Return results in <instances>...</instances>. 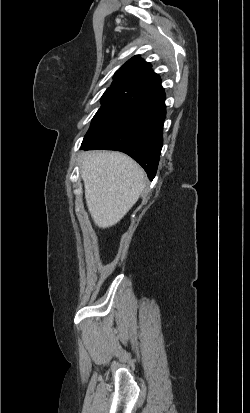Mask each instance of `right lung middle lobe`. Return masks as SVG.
I'll use <instances>...</instances> for the list:
<instances>
[{"label": "right lung middle lobe", "instance_id": "1", "mask_svg": "<svg viewBox=\"0 0 250 413\" xmlns=\"http://www.w3.org/2000/svg\"><path fill=\"white\" fill-rule=\"evenodd\" d=\"M136 94L106 90L101 99V107L92 119L81 146L97 139L120 117L128 104L136 99Z\"/></svg>", "mask_w": 250, "mask_h": 413}]
</instances>
